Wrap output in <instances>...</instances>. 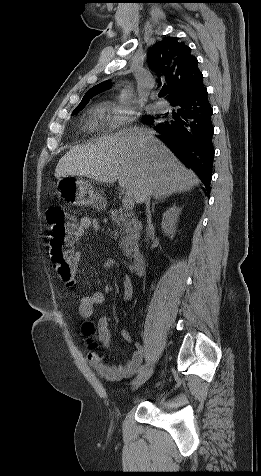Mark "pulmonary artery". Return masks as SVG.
Listing matches in <instances>:
<instances>
[{"label":"pulmonary artery","mask_w":261,"mask_h":476,"mask_svg":"<svg viewBox=\"0 0 261 476\" xmlns=\"http://www.w3.org/2000/svg\"><path fill=\"white\" fill-rule=\"evenodd\" d=\"M155 107H156V109H158V110L161 111V112H164V111L167 110L166 104H165L164 102H162V101L156 102V103H155Z\"/></svg>","instance_id":"obj_1"}]
</instances>
